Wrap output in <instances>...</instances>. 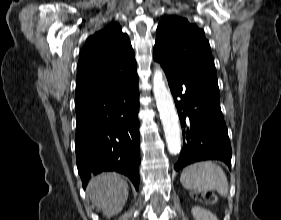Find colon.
Here are the masks:
<instances>
[{
  "label": "colon",
  "instance_id": "colon-1",
  "mask_svg": "<svg viewBox=\"0 0 281 220\" xmlns=\"http://www.w3.org/2000/svg\"><path fill=\"white\" fill-rule=\"evenodd\" d=\"M194 196L205 203L212 204L217 201V196L211 191L197 192Z\"/></svg>",
  "mask_w": 281,
  "mask_h": 220
}]
</instances>
